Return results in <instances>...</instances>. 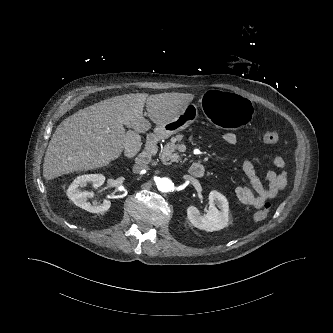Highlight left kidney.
<instances>
[{
  "label": "left kidney",
  "mask_w": 333,
  "mask_h": 333,
  "mask_svg": "<svg viewBox=\"0 0 333 333\" xmlns=\"http://www.w3.org/2000/svg\"><path fill=\"white\" fill-rule=\"evenodd\" d=\"M209 203V210L204 216L200 215L196 207L189 206L187 209L189 221L194 227L208 232L225 228L229 221V205L226 197L213 190L209 193ZM215 204L220 210L216 208Z\"/></svg>",
  "instance_id": "left-kidney-1"
}]
</instances>
